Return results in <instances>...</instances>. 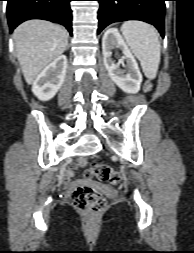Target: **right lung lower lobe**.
<instances>
[{"label": "right lung lower lobe", "instance_id": "1", "mask_svg": "<svg viewBox=\"0 0 194 253\" xmlns=\"http://www.w3.org/2000/svg\"><path fill=\"white\" fill-rule=\"evenodd\" d=\"M10 32L29 19H44L64 25L72 34V0H6Z\"/></svg>", "mask_w": 194, "mask_h": 253}]
</instances>
